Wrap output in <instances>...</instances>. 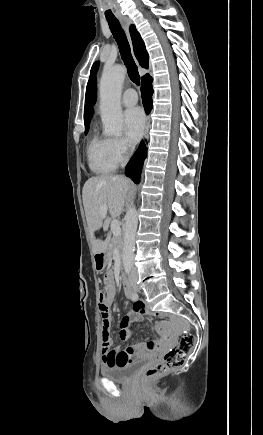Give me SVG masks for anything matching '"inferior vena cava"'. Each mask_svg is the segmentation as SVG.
<instances>
[{
    "label": "inferior vena cava",
    "instance_id": "602c4592",
    "mask_svg": "<svg viewBox=\"0 0 263 435\" xmlns=\"http://www.w3.org/2000/svg\"><path fill=\"white\" fill-rule=\"evenodd\" d=\"M131 149L133 150V149H134V146H131Z\"/></svg>",
    "mask_w": 263,
    "mask_h": 435
}]
</instances>
